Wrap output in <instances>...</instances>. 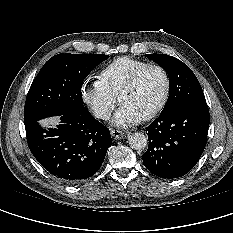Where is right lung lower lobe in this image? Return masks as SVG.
I'll use <instances>...</instances> for the list:
<instances>
[{
	"label": "right lung lower lobe",
	"mask_w": 233,
	"mask_h": 233,
	"mask_svg": "<svg viewBox=\"0 0 233 233\" xmlns=\"http://www.w3.org/2000/svg\"><path fill=\"white\" fill-rule=\"evenodd\" d=\"M60 116L55 129L45 130L38 121L25 125L28 146L55 178L78 183L99 170L112 139L109 129L86 108Z\"/></svg>",
	"instance_id": "obj_1"
}]
</instances>
